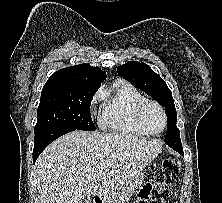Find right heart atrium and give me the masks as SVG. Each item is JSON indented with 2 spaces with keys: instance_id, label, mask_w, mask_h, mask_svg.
Here are the masks:
<instances>
[{
  "instance_id": "obj_1",
  "label": "right heart atrium",
  "mask_w": 222,
  "mask_h": 203,
  "mask_svg": "<svg viewBox=\"0 0 222 203\" xmlns=\"http://www.w3.org/2000/svg\"><path fill=\"white\" fill-rule=\"evenodd\" d=\"M102 98H103V92L100 91V92H98V93L95 95V97L93 98V101H92L93 106H95L97 103H99Z\"/></svg>"
}]
</instances>
